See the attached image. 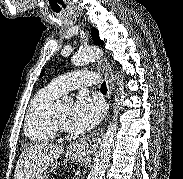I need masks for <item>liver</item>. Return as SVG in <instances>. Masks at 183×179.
<instances>
[{"mask_svg": "<svg viewBox=\"0 0 183 179\" xmlns=\"http://www.w3.org/2000/svg\"><path fill=\"white\" fill-rule=\"evenodd\" d=\"M64 147L57 144L28 146L16 164L14 179H34L46 172L49 166L63 153Z\"/></svg>", "mask_w": 183, "mask_h": 179, "instance_id": "1", "label": "liver"}]
</instances>
